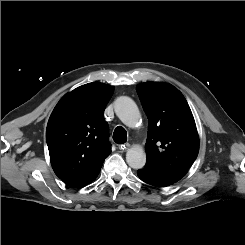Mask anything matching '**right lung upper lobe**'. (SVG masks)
Segmentation results:
<instances>
[{
  "label": "right lung upper lobe",
  "instance_id": "obj_1",
  "mask_svg": "<svg viewBox=\"0 0 245 245\" xmlns=\"http://www.w3.org/2000/svg\"><path fill=\"white\" fill-rule=\"evenodd\" d=\"M113 91L99 82L80 86L58 102L49 118L46 141L51 165L69 186L91 183L111 153L102 113Z\"/></svg>",
  "mask_w": 245,
  "mask_h": 245
}]
</instances>
